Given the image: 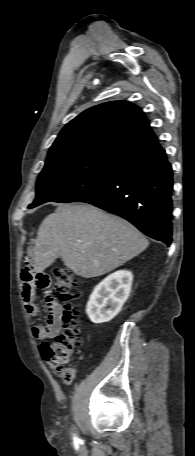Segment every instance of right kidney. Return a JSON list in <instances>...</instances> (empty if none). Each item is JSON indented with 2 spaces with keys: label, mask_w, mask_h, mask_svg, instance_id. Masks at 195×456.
<instances>
[{
  "label": "right kidney",
  "mask_w": 195,
  "mask_h": 456,
  "mask_svg": "<svg viewBox=\"0 0 195 456\" xmlns=\"http://www.w3.org/2000/svg\"><path fill=\"white\" fill-rule=\"evenodd\" d=\"M132 281L133 275L127 270L116 271L101 281L94 288L86 306L89 319L95 324L112 320L128 299Z\"/></svg>",
  "instance_id": "ca27d5eb"
}]
</instances>
